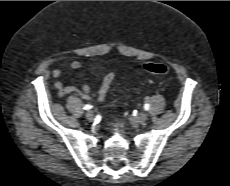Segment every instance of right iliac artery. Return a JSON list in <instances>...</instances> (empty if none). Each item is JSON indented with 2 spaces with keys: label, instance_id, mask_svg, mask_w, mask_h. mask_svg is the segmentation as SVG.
Segmentation results:
<instances>
[{
  "label": "right iliac artery",
  "instance_id": "obj_1",
  "mask_svg": "<svg viewBox=\"0 0 230 186\" xmlns=\"http://www.w3.org/2000/svg\"><path fill=\"white\" fill-rule=\"evenodd\" d=\"M91 108H92V106L89 105V104H87V105L84 106V109H85V110H90Z\"/></svg>",
  "mask_w": 230,
  "mask_h": 186
}]
</instances>
